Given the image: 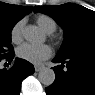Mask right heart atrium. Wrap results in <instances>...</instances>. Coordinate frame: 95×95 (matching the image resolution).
Here are the masks:
<instances>
[{
  "instance_id": "d8ad5b80",
  "label": "right heart atrium",
  "mask_w": 95,
  "mask_h": 95,
  "mask_svg": "<svg viewBox=\"0 0 95 95\" xmlns=\"http://www.w3.org/2000/svg\"><path fill=\"white\" fill-rule=\"evenodd\" d=\"M23 27H24V20H19L12 26L10 31V39L13 43L18 44L22 41Z\"/></svg>"
}]
</instances>
